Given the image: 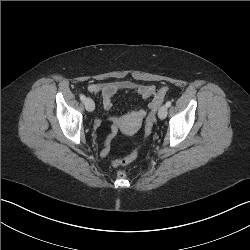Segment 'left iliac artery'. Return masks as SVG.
<instances>
[{
	"label": "left iliac artery",
	"mask_w": 250,
	"mask_h": 250,
	"mask_svg": "<svg viewBox=\"0 0 250 250\" xmlns=\"http://www.w3.org/2000/svg\"><path fill=\"white\" fill-rule=\"evenodd\" d=\"M166 107H170L171 106V101H167L165 104Z\"/></svg>",
	"instance_id": "1"
}]
</instances>
